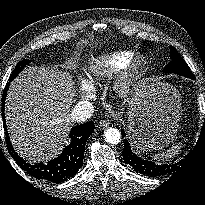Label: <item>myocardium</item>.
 I'll return each instance as SVG.
<instances>
[{
  "label": "myocardium",
  "mask_w": 205,
  "mask_h": 205,
  "mask_svg": "<svg viewBox=\"0 0 205 205\" xmlns=\"http://www.w3.org/2000/svg\"><path fill=\"white\" fill-rule=\"evenodd\" d=\"M145 63L144 56L135 55L121 73L113 80L111 84L113 92L120 97L129 96L136 87L144 70Z\"/></svg>",
  "instance_id": "1"
}]
</instances>
